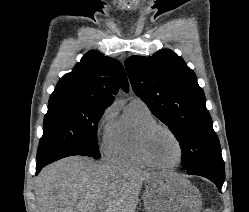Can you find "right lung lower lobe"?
<instances>
[{"mask_svg":"<svg viewBox=\"0 0 249 212\" xmlns=\"http://www.w3.org/2000/svg\"><path fill=\"white\" fill-rule=\"evenodd\" d=\"M70 153L67 154H58V155H48L42 158L37 159V165H36V175L39 173V171L46 166L47 164H50L56 160H59L61 158L67 157Z\"/></svg>","mask_w":249,"mask_h":212,"instance_id":"1","label":"right lung lower lobe"}]
</instances>
